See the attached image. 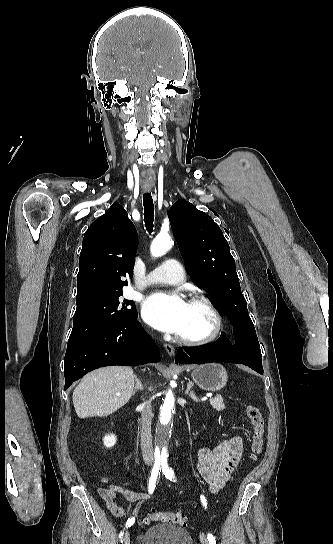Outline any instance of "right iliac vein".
I'll return each mask as SVG.
<instances>
[{"label": "right iliac vein", "mask_w": 333, "mask_h": 544, "mask_svg": "<svg viewBox=\"0 0 333 544\" xmlns=\"http://www.w3.org/2000/svg\"><path fill=\"white\" fill-rule=\"evenodd\" d=\"M124 544H130V533H129V531H126V532H125V535H124Z\"/></svg>", "instance_id": "63e3f726"}]
</instances>
